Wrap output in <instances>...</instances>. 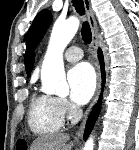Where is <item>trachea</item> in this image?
I'll return each instance as SVG.
<instances>
[{"label":"trachea","mask_w":139,"mask_h":150,"mask_svg":"<svg viewBox=\"0 0 139 150\" xmlns=\"http://www.w3.org/2000/svg\"><path fill=\"white\" fill-rule=\"evenodd\" d=\"M73 6L75 7L76 11L80 15H84V3L83 0H72ZM82 39L86 44L91 43L92 33L91 28L87 22H84L81 29Z\"/></svg>","instance_id":"obj_1"}]
</instances>
